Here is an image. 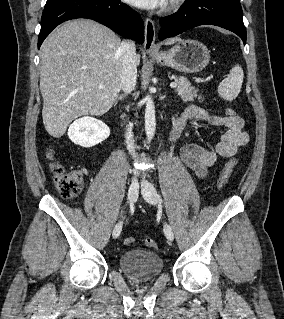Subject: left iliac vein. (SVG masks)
<instances>
[{"label": "left iliac vein", "instance_id": "4c4485c4", "mask_svg": "<svg viewBox=\"0 0 284 319\" xmlns=\"http://www.w3.org/2000/svg\"><path fill=\"white\" fill-rule=\"evenodd\" d=\"M142 196L149 204L156 205V190L150 183H145L142 189ZM164 233L169 242H172L174 239V234L171 226L167 223L164 224Z\"/></svg>", "mask_w": 284, "mask_h": 319}]
</instances>
